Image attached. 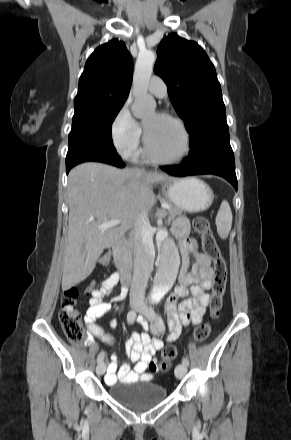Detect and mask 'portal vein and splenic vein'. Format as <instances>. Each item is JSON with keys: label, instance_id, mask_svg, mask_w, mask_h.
<instances>
[{"label": "portal vein and splenic vein", "instance_id": "obj_1", "mask_svg": "<svg viewBox=\"0 0 291 440\" xmlns=\"http://www.w3.org/2000/svg\"><path fill=\"white\" fill-rule=\"evenodd\" d=\"M161 207L163 209L170 208L169 205H167V204H162ZM120 223H121L120 220L115 219V220H111V221H107V222L102 223L101 225L98 226V228L99 229H108V228L115 227V226L119 225Z\"/></svg>", "mask_w": 291, "mask_h": 440}]
</instances>
